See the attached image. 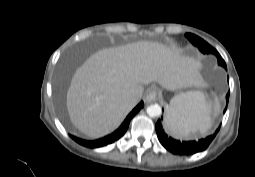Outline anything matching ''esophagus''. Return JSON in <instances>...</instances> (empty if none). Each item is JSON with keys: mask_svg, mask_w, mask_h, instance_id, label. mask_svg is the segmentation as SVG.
I'll use <instances>...</instances> for the list:
<instances>
[{"mask_svg": "<svg viewBox=\"0 0 255 177\" xmlns=\"http://www.w3.org/2000/svg\"><path fill=\"white\" fill-rule=\"evenodd\" d=\"M158 98V91L155 87H152L146 94L145 101L152 102Z\"/></svg>", "mask_w": 255, "mask_h": 177, "instance_id": "esophagus-1", "label": "esophagus"}]
</instances>
